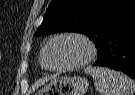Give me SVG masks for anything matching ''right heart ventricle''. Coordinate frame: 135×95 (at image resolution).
Instances as JSON below:
<instances>
[{
	"mask_svg": "<svg viewBox=\"0 0 135 95\" xmlns=\"http://www.w3.org/2000/svg\"><path fill=\"white\" fill-rule=\"evenodd\" d=\"M46 45L42 48L41 53H40V58H39V62L40 65L43 69H46L44 66V51H45Z\"/></svg>",
	"mask_w": 135,
	"mask_h": 95,
	"instance_id": "obj_1",
	"label": "right heart ventricle"
}]
</instances>
